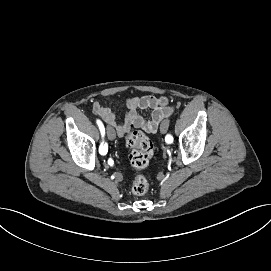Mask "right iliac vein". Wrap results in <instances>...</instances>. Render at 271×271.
I'll use <instances>...</instances> for the list:
<instances>
[{"label": "right iliac vein", "mask_w": 271, "mask_h": 271, "mask_svg": "<svg viewBox=\"0 0 271 271\" xmlns=\"http://www.w3.org/2000/svg\"><path fill=\"white\" fill-rule=\"evenodd\" d=\"M107 137L109 140H114L116 137L114 129L110 126H107Z\"/></svg>", "instance_id": "1"}]
</instances>
